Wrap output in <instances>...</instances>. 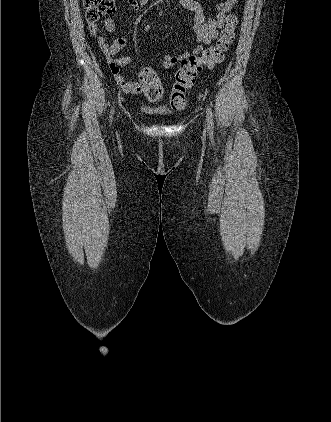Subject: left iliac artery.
I'll return each instance as SVG.
<instances>
[{"mask_svg": "<svg viewBox=\"0 0 331 422\" xmlns=\"http://www.w3.org/2000/svg\"><path fill=\"white\" fill-rule=\"evenodd\" d=\"M207 120H208V125L209 127L212 129L214 128V123H213V113L210 107H207Z\"/></svg>", "mask_w": 331, "mask_h": 422, "instance_id": "44dca946", "label": "left iliac artery"}]
</instances>
